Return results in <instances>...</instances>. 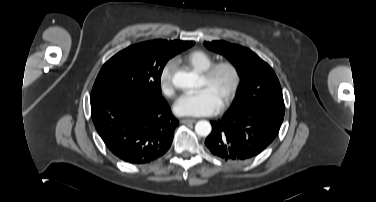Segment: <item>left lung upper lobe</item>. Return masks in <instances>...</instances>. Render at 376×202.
I'll return each instance as SVG.
<instances>
[{
  "instance_id": "1",
  "label": "left lung upper lobe",
  "mask_w": 376,
  "mask_h": 202,
  "mask_svg": "<svg viewBox=\"0 0 376 202\" xmlns=\"http://www.w3.org/2000/svg\"><path fill=\"white\" fill-rule=\"evenodd\" d=\"M204 45L229 58L241 78L240 96L231 112L241 113L250 107H263L284 115L280 83L266 62L251 50L225 41L204 42Z\"/></svg>"
}]
</instances>
